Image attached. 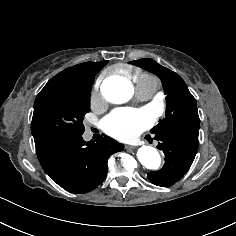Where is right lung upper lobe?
<instances>
[{
    "instance_id": "obj_1",
    "label": "right lung upper lobe",
    "mask_w": 236,
    "mask_h": 236,
    "mask_svg": "<svg viewBox=\"0 0 236 236\" xmlns=\"http://www.w3.org/2000/svg\"><path fill=\"white\" fill-rule=\"evenodd\" d=\"M107 63L108 61L85 62L69 67L50 79L43 89H91L96 73H98Z\"/></svg>"
}]
</instances>
